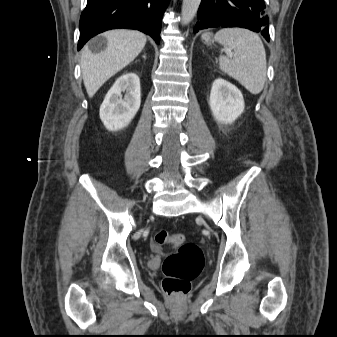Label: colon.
Wrapping results in <instances>:
<instances>
[{
  "label": "colon",
  "instance_id": "1",
  "mask_svg": "<svg viewBox=\"0 0 337 337\" xmlns=\"http://www.w3.org/2000/svg\"><path fill=\"white\" fill-rule=\"evenodd\" d=\"M156 249L173 245L177 250L168 255L162 265V288L169 296H182L189 292L191 282L200 274L204 265L201 248L194 243L185 242L182 234L158 231L153 239Z\"/></svg>",
  "mask_w": 337,
  "mask_h": 337
}]
</instances>
